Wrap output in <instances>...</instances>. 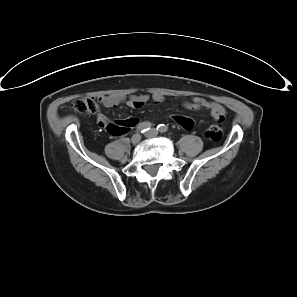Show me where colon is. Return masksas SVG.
<instances>
[{
	"mask_svg": "<svg viewBox=\"0 0 297 297\" xmlns=\"http://www.w3.org/2000/svg\"><path fill=\"white\" fill-rule=\"evenodd\" d=\"M72 108L83 114H98L100 111V100L95 98L76 99L71 104ZM207 139L217 142L222 138L220 125H211L205 131Z\"/></svg>",
	"mask_w": 297,
	"mask_h": 297,
	"instance_id": "1",
	"label": "colon"
}]
</instances>
